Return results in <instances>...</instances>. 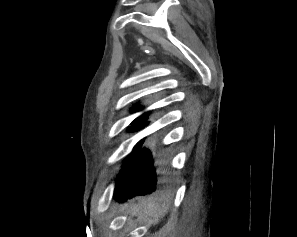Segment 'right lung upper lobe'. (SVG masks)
I'll use <instances>...</instances> for the list:
<instances>
[{
  "mask_svg": "<svg viewBox=\"0 0 297 237\" xmlns=\"http://www.w3.org/2000/svg\"><path fill=\"white\" fill-rule=\"evenodd\" d=\"M138 108L135 107L134 110H137ZM148 113H144L143 115H141L140 117L136 118L133 122H137V121H142V120H147ZM132 122V123H133Z\"/></svg>",
  "mask_w": 297,
  "mask_h": 237,
  "instance_id": "1",
  "label": "right lung upper lobe"
}]
</instances>
